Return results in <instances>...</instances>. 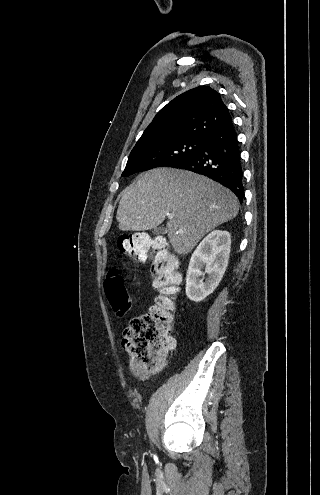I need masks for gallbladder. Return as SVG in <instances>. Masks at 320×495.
Segmentation results:
<instances>
[{"label":"gallbladder","instance_id":"1","mask_svg":"<svg viewBox=\"0 0 320 495\" xmlns=\"http://www.w3.org/2000/svg\"><path fill=\"white\" fill-rule=\"evenodd\" d=\"M153 233L155 235L164 234L165 233V229L163 227H156V228H154Z\"/></svg>","mask_w":320,"mask_h":495}]
</instances>
